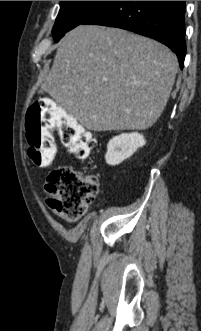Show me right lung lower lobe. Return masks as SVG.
<instances>
[{
    "instance_id": "1",
    "label": "right lung lower lobe",
    "mask_w": 201,
    "mask_h": 331,
    "mask_svg": "<svg viewBox=\"0 0 201 331\" xmlns=\"http://www.w3.org/2000/svg\"><path fill=\"white\" fill-rule=\"evenodd\" d=\"M184 15L185 1H110L83 24L122 28L156 39L176 53L182 69Z\"/></svg>"
}]
</instances>
